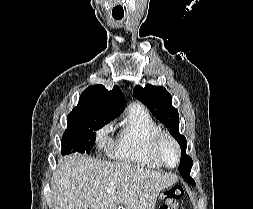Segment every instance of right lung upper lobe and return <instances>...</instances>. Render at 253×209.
Segmentation results:
<instances>
[{"mask_svg":"<svg viewBox=\"0 0 253 209\" xmlns=\"http://www.w3.org/2000/svg\"><path fill=\"white\" fill-rule=\"evenodd\" d=\"M123 94L118 86L108 91L103 85H92L82 92L79 103L69 113L67 121L88 115L115 119L121 114Z\"/></svg>","mask_w":253,"mask_h":209,"instance_id":"obj_1","label":"right lung upper lobe"}]
</instances>
